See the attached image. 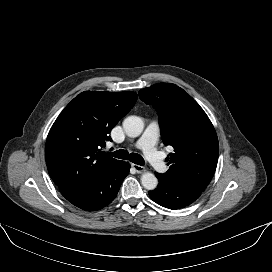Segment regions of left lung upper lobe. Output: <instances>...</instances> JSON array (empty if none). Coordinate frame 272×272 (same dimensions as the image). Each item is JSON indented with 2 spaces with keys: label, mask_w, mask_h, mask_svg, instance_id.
<instances>
[{
  "label": "left lung upper lobe",
  "mask_w": 272,
  "mask_h": 272,
  "mask_svg": "<svg viewBox=\"0 0 272 272\" xmlns=\"http://www.w3.org/2000/svg\"><path fill=\"white\" fill-rule=\"evenodd\" d=\"M138 94L156 109L163 142L174 148L164 175L205 189L216 170L219 145L204 110L175 84H155Z\"/></svg>",
  "instance_id": "left-lung-upper-lobe-1"
}]
</instances>
